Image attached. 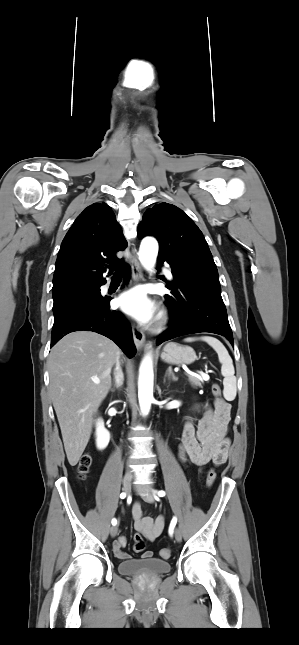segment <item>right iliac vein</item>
<instances>
[{"label": "right iliac vein", "instance_id": "obj_1", "mask_svg": "<svg viewBox=\"0 0 299 645\" xmlns=\"http://www.w3.org/2000/svg\"><path fill=\"white\" fill-rule=\"evenodd\" d=\"M132 479H133V476H132V474H130V473L126 474V475L124 476V478H123V490H124L125 492H127V493H129V492H130V490H131V482H132ZM110 534H111V536H112L113 538L117 536V534H118V526H117V525H113V526L111 527V529H110Z\"/></svg>", "mask_w": 299, "mask_h": 645}]
</instances>
